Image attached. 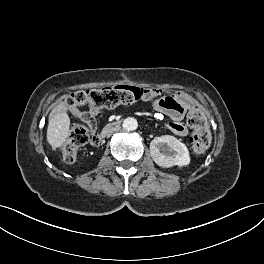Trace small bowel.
Returning a JSON list of instances; mask_svg holds the SVG:
<instances>
[{
	"mask_svg": "<svg viewBox=\"0 0 264 264\" xmlns=\"http://www.w3.org/2000/svg\"><path fill=\"white\" fill-rule=\"evenodd\" d=\"M143 98L152 102L153 108L158 114L166 115L171 119L166 126L168 130L178 136H186L189 133L188 127L182 122L185 111L192 105V100L187 94L176 92L163 95V91L160 89H146ZM69 111L72 116L88 125L92 134V145H99L100 140L96 133V116L100 109L90 108L88 111H81L77 107H72Z\"/></svg>",
	"mask_w": 264,
	"mask_h": 264,
	"instance_id": "obj_1",
	"label": "small bowel"
}]
</instances>
